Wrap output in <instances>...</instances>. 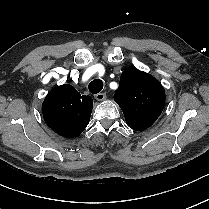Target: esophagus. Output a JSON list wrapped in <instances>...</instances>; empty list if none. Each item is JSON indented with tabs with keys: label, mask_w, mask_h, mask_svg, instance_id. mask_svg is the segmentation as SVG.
Masks as SVG:
<instances>
[{
	"label": "esophagus",
	"mask_w": 209,
	"mask_h": 209,
	"mask_svg": "<svg viewBox=\"0 0 209 209\" xmlns=\"http://www.w3.org/2000/svg\"><path fill=\"white\" fill-rule=\"evenodd\" d=\"M94 97L98 101H103V100L106 99V93H104V92L103 93H98Z\"/></svg>",
	"instance_id": "34e87169"
}]
</instances>
